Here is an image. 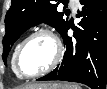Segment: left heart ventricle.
<instances>
[{
	"mask_svg": "<svg viewBox=\"0 0 107 89\" xmlns=\"http://www.w3.org/2000/svg\"><path fill=\"white\" fill-rule=\"evenodd\" d=\"M56 48L47 35H37L23 47L19 56V69L24 74H34L47 68L53 61Z\"/></svg>",
	"mask_w": 107,
	"mask_h": 89,
	"instance_id": "b2bd125f",
	"label": "left heart ventricle"
}]
</instances>
